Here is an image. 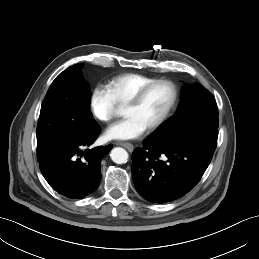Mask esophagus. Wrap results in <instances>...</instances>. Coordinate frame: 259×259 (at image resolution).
<instances>
[{
    "label": "esophagus",
    "instance_id": "esophagus-1",
    "mask_svg": "<svg viewBox=\"0 0 259 259\" xmlns=\"http://www.w3.org/2000/svg\"><path fill=\"white\" fill-rule=\"evenodd\" d=\"M116 145L125 147L128 151L132 152L134 149V146L131 143H124V142H116Z\"/></svg>",
    "mask_w": 259,
    "mask_h": 259
}]
</instances>
